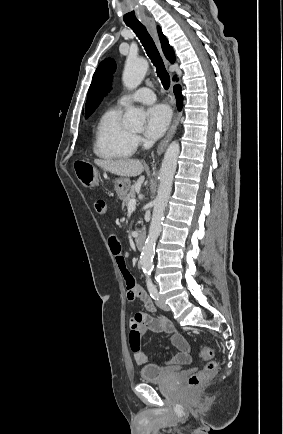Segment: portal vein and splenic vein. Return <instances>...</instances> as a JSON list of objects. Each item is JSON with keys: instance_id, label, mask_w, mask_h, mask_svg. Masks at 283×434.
Instances as JSON below:
<instances>
[{"instance_id": "18ae733b", "label": "portal vein and splenic vein", "mask_w": 283, "mask_h": 434, "mask_svg": "<svg viewBox=\"0 0 283 434\" xmlns=\"http://www.w3.org/2000/svg\"><path fill=\"white\" fill-rule=\"evenodd\" d=\"M136 208V200L132 199L128 203V212H133Z\"/></svg>"}]
</instances>
